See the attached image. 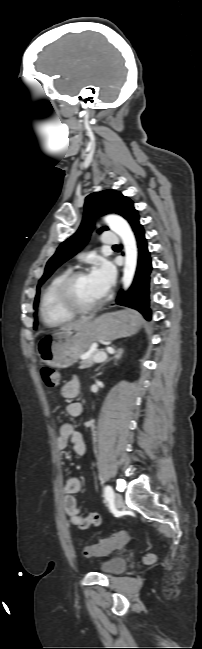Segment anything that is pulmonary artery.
<instances>
[{
    "label": "pulmonary artery",
    "instance_id": "pulmonary-artery-1",
    "mask_svg": "<svg viewBox=\"0 0 202 649\" xmlns=\"http://www.w3.org/2000/svg\"><path fill=\"white\" fill-rule=\"evenodd\" d=\"M119 241V237L111 232H105L101 237V242L108 247L117 245Z\"/></svg>",
    "mask_w": 202,
    "mask_h": 649
}]
</instances>
